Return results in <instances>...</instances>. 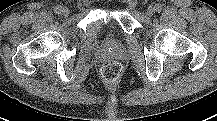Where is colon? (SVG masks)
<instances>
[{
    "label": "colon",
    "mask_w": 217,
    "mask_h": 121,
    "mask_svg": "<svg viewBox=\"0 0 217 121\" xmlns=\"http://www.w3.org/2000/svg\"><path fill=\"white\" fill-rule=\"evenodd\" d=\"M100 73L106 82H115L122 75V66L116 61L106 62L101 66Z\"/></svg>",
    "instance_id": "colon-1"
}]
</instances>
